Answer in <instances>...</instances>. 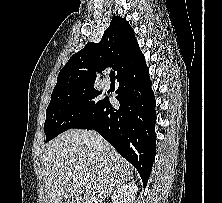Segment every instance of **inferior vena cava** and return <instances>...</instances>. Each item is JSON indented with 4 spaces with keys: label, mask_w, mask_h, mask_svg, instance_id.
<instances>
[{
    "label": "inferior vena cava",
    "mask_w": 222,
    "mask_h": 203,
    "mask_svg": "<svg viewBox=\"0 0 222 203\" xmlns=\"http://www.w3.org/2000/svg\"><path fill=\"white\" fill-rule=\"evenodd\" d=\"M96 140L99 145H103V138L99 134H96Z\"/></svg>",
    "instance_id": "1"
}]
</instances>
